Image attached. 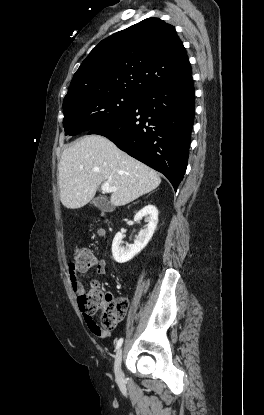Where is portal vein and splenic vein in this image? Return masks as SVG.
I'll return each instance as SVG.
<instances>
[{"instance_id":"18ae733b","label":"portal vein and splenic vein","mask_w":264,"mask_h":415,"mask_svg":"<svg viewBox=\"0 0 264 415\" xmlns=\"http://www.w3.org/2000/svg\"><path fill=\"white\" fill-rule=\"evenodd\" d=\"M101 189L103 192L111 193L117 191L116 187L110 186L109 182H104L101 185Z\"/></svg>"}]
</instances>
